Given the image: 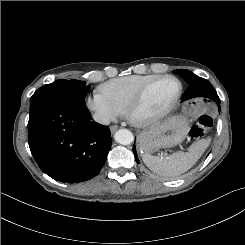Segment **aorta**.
Masks as SVG:
<instances>
[{"mask_svg":"<svg viewBox=\"0 0 245 245\" xmlns=\"http://www.w3.org/2000/svg\"><path fill=\"white\" fill-rule=\"evenodd\" d=\"M115 141L122 145H129L134 141V136L128 129H120L114 135Z\"/></svg>","mask_w":245,"mask_h":245,"instance_id":"obj_1","label":"aorta"}]
</instances>
